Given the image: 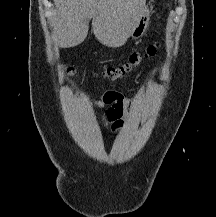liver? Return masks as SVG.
I'll list each match as a JSON object with an SVG mask.
<instances>
[{"mask_svg":"<svg viewBox=\"0 0 216 217\" xmlns=\"http://www.w3.org/2000/svg\"><path fill=\"white\" fill-rule=\"evenodd\" d=\"M54 4L53 39L62 47L82 43L91 19L97 40L119 47L127 41L146 0H54Z\"/></svg>","mask_w":216,"mask_h":217,"instance_id":"liver-1","label":"liver"}]
</instances>
